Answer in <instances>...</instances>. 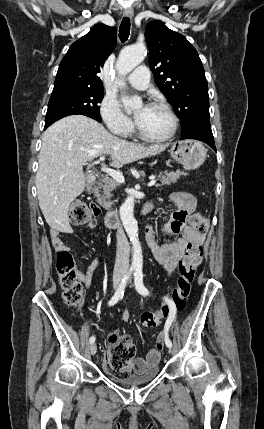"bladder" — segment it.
<instances>
[{
  "label": "bladder",
  "instance_id": "obj_1",
  "mask_svg": "<svg viewBox=\"0 0 264 429\" xmlns=\"http://www.w3.org/2000/svg\"><path fill=\"white\" fill-rule=\"evenodd\" d=\"M159 374L158 366L149 368L141 374H129L126 377L110 376V379L116 384L123 386H137L153 381Z\"/></svg>",
  "mask_w": 264,
  "mask_h": 429
}]
</instances>
